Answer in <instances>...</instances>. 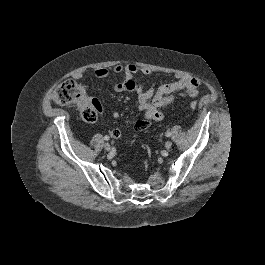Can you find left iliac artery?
Returning <instances> with one entry per match:
<instances>
[{
  "mask_svg": "<svg viewBox=\"0 0 265 265\" xmlns=\"http://www.w3.org/2000/svg\"><path fill=\"white\" fill-rule=\"evenodd\" d=\"M166 136L167 137H170L171 136V133L170 132H166Z\"/></svg>",
  "mask_w": 265,
  "mask_h": 265,
  "instance_id": "1",
  "label": "left iliac artery"
}]
</instances>
